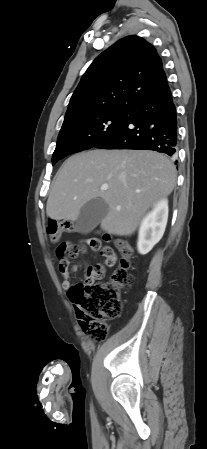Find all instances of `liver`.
<instances>
[{
    "label": "liver",
    "instance_id": "liver-1",
    "mask_svg": "<svg viewBox=\"0 0 207 449\" xmlns=\"http://www.w3.org/2000/svg\"><path fill=\"white\" fill-rule=\"evenodd\" d=\"M176 168L167 156L147 150H90L68 158L57 172L47 200L52 220H77L88 201L108 207L101 229L117 236L133 234L156 202L171 194ZM108 185L101 191L100 187Z\"/></svg>",
    "mask_w": 207,
    "mask_h": 449
}]
</instances>
